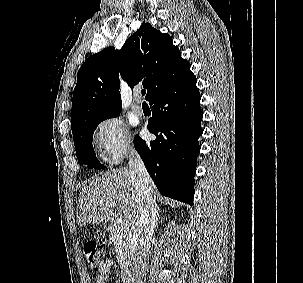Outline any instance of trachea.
<instances>
[{
	"label": "trachea",
	"instance_id": "trachea-1",
	"mask_svg": "<svg viewBox=\"0 0 303 283\" xmlns=\"http://www.w3.org/2000/svg\"><path fill=\"white\" fill-rule=\"evenodd\" d=\"M141 93H142V95H145L146 91H145V90H142V92H141Z\"/></svg>",
	"mask_w": 303,
	"mask_h": 283
}]
</instances>
